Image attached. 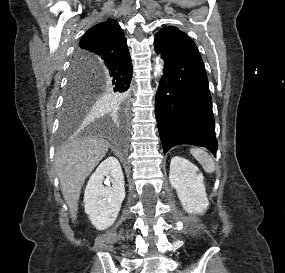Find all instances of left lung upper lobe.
<instances>
[{
  "label": "left lung upper lobe",
  "instance_id": "left-lung-upper-lobe-1",
  "mask_svg": "<svg viewBox=\"0 0 285 273\" xmlns=\"http://www.w3.org/2000/svg\"><path fill=\"white\" fill-rule=\"evenodd\" d=\"M166 31H176V32L184 33V32L180 31L179 29H177L176 27H173V26L164 27L158 33L166 32Z\"/></svg>",
  "mask_w": 285,
  "mask_h": 273
}]
</instances>
